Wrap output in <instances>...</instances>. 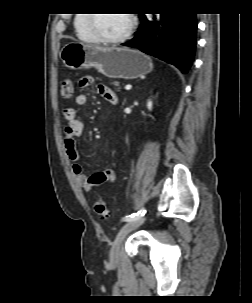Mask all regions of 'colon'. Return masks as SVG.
<instances>
[{
	"mask_svg": "<svg viewBox=\"0 0 252 303\" xmlns=\"http://www.w3.org/2000/svg\"><path fill=\"white\" fill-rule=\"evenodd\" d=\"M60 91H61V96L65 100L71 99L74 93L73 81L70 79H64L61 83ZM93 209L94 212L102 219L107 218L109 215V210L107 208L106 202L101 198H97L94 201Z\"/></svg>",
	"mask_w": 252,
	"mask_h": 303,
	"instance_id": "colon-1",
	"label": "colon"
}]
</instances>
